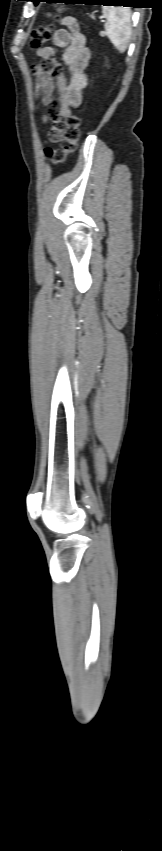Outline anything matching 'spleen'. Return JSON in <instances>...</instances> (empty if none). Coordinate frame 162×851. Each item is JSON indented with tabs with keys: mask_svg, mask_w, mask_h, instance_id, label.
<instances>
[{
	"mask_svg": "<svg viewBox=\"0 0 162 851\" xmlns=\"http://www.w3.org/2000/svg\"><path fill=\"white\" fill-rule=\"evenodd\" d=\"M102 10L107 20L105 30L108 38L120 53H124L131 35L130 9L111 6Z\"/></svg>",
	"mask_w": 162,
	"mask_h": 851,
	"instance_id": "obj_1",
	"label": "spleen"
}]
</instances>
